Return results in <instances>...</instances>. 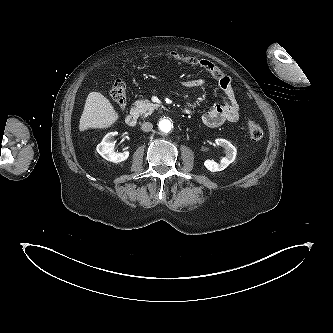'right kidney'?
I'll return each mask as SVG.
<instances>
[{
    "label": "right kidney",
    "mask_w": 333,
    "mask_h": 333,
    "mask_svg": "<svg viewBox=\"0 0 333 333\" xmlns=\"http://www.w3.org/2000/svg\"><path fill=\"white\" fill-rule=\"evenodd\" d=\"M117 132H110L105 135L101 143L97 145V152L106 160L114 163H119L126 160L129 157V151L123 153H116L113 151L115 146L114 136Z\"/></svg>",
    "instance_id": "right-kidney-1"
}]
</instances>
